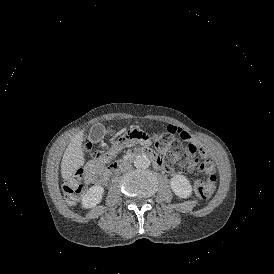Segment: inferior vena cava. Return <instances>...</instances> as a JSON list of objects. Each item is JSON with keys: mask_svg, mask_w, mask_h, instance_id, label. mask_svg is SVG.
Masks as SVG:
<instances>
[{"mask_svg": "<svg viewBox=\"0 0 274 274\" xmlns=\"http://www.w3.org/2000/svg\"><path fill=\"white\" fill-rule=\"evenodd\" d=\"M132 166L130 164L125 165L122 169L123 170H130Z\"/></svg>", "mask_w": 274, "mask_h": 274, "instance_id": "obj_1", "label": "inferior vena cava"}]
</instances>
